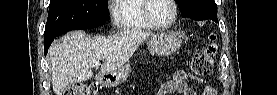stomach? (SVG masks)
Masks as SVG:
<instances>
[{"label":"stomach","mask_w":277,"mask_h":95,"mask_svg":"<svg viewBox=\"0 0 277 95\" xmlns=\"http://www.w3.org/2000/svg\"><path fill=\"white\" fill-rule=\"evenodd\" d=\"M181 43L182 41L176 33H160L149 39L148 48L153 55L166 56L179 49ZM130 71L131 66L126 63L117 70L103 74L101 82L108 87L118 86L128 78Z\"/></svg>","instance_id":"obj_1"}]
</instances>
